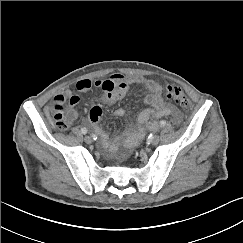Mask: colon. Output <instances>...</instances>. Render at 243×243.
Here are the masks:
<instances>
[{"mask_svg": "<svg viewBox=\"0 0 243 243\" xmlns=\"http://www.w3.org/2000/svg\"><path fill=\"white\" fill-rule=\"evenodd\" d=\"M164 94L167 99L174 102L175 104L181 107H188L189 101L185 96L182 89L176 85H168L164 89ZM54 120L55 125L60 130H66L69 127V120L64 112V107L57 105L53 108L51 112Z\"/></svg>", "mask_w": 243, "mask_h": 243, "instance_id": "5ec220e1", "label": "colon"}]
</instances>
